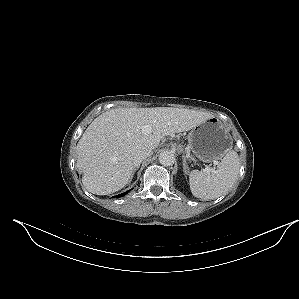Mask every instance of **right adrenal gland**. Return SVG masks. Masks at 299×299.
<instances>
[{
    "label": "right adrenal gland",
    "mask_w": 299,
    "mask_h": 299,
    "mask_svg": "<svg viewBox=\"0 0 299 299\" xmlns=\"http://www.w3.org/2000/svg\"><path fill=\"white\" fill-rule=\"evenodd\" d=\"M138 168H139V165L133 169V173H132V176H131V179H130V181L132 180V178H133V175H134V173L136 172V170H138Z\"/></svg>",
    "instance_id": "1"
}]
</instances>
